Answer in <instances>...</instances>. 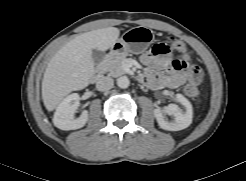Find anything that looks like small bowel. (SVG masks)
I'll return each instance as SVG.
<instances>
[{"mask_svg":"<svg viewBox=\"0 0 246 181\" xmlns=\"http://www.w3.org/2000/svg\"><path fill=\"white\" fill-rule=\"evenodd\" d=\"M140 61L147 68L142 80L150 88H177L190 78L191 59L188 56L173 57L169 51L163 54L151 51L143 54Z\"/></svg>","mask_w":246,"mask_h":181,"instance_id":"c3829d8e","label":"small bowel"}]
</instances>
